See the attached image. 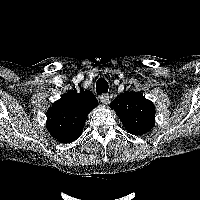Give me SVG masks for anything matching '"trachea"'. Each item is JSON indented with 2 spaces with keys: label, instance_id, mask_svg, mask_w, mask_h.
<instances>
[{
  "label": "trachea",
  "instance_id": "trachea-1",
  "mask_svg": "<svg viewBox=\"0 0 200 200\" xmlns=\"http://www.w3.org/2000/svg\"><path fill=\"white\" fill-rule=\"evenodd\" d=\"M108 82L104 78H99L96 83V92L98 95L108 92Z\"/></svg>",
  "mask_w": 200,
  "mask_h": 200
}]
</instances>
